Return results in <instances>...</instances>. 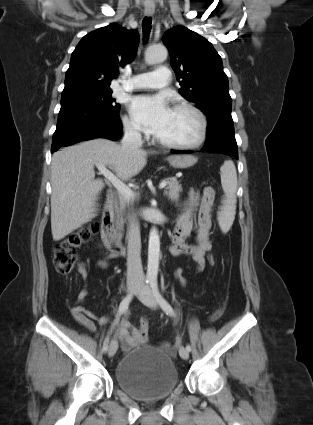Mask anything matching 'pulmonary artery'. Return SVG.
Returning a JSON list of instances; mask_svg holds the SVG:
<instances>
[{
	"label": "pulmonary artery",
	"mask_w": 313,
	"mask_h": 425,
	"mask_svg": "<svg viewBox=\"0 0 313 425\" xmlns=\"http://www.w3.org/2000/svg\"><path fill=\"white\" fill-rule=\"evenodd\" d=\"M171 72L167 67H159L155 71L140 73L133 76L129 87L134 89H157L168 85Z\"/></svg>",
	"instance_id": "e3ab8cb5"
}]
</instances>
